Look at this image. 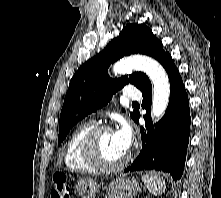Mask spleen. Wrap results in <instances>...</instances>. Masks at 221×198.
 Segmentation results:
<instances>
[{
  "label": "spleen",
  "instance_id": "1",
  "mask_svg": "<svg viewBox=\"0 0 221 198\" xmlns=\"http://www.w3.org/2000/svg\"><path fill=\"white\" fill-rule=\"evenodd\" d=\"M142 181L153 195H161L165 191V180L157 174H145L142 176Z\"/></svg>",
  "mask_w": 221,
  "mask_h": 198
}]
</instances>
